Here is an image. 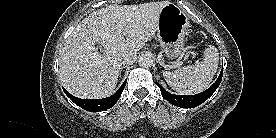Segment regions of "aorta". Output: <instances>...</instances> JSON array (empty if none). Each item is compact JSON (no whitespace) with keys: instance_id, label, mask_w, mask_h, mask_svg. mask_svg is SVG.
Listing matches in <instances>:
<instances>
[{"instance_id":"obj_1","label":"aorta","mask_w":276,"mask_h":138,"mask_svg":"<svg viewBox=\"0 0 276 138\" xmlns=\"http://www.w3.org/2000/svg\"><path fill=\"white\" fill-rule=\"evenodd\" d=\"M139 65L143 68H149L153 65V59L150 55H142L139 58Z\"/></svg>"}]
</instances>
